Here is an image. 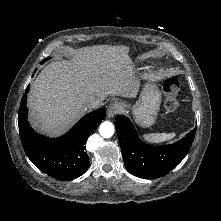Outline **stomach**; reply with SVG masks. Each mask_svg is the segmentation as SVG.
<instances>
[{
	"instance_id": "0dacf381",
	"label": "stomach",
	"mask_w": 221,
	"mask_h": 221,
	"mask_svg": "<svg viewBox=\"0 0 221 221\" xmlns=\"http://www.w3.org/2000/svg\"><path fill=\"white\" fill-rule=\"evenodd\" d=\"M161 104V93L153 81H147L139 100L132 106L135 121L142 127H150L155 121ZM126 106V105H124Z\"/></svg>"
}]
</instances>
